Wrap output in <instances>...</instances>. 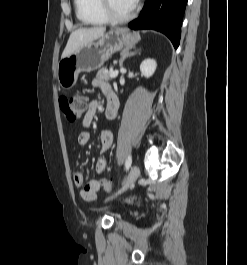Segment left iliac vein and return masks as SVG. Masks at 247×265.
<instances>
[{
	"label": "left iliac vein",
	"instance_id": "left-iliac-vein-1",
	"mask_svg": "<svg viewBox=\"0 0 247 265\" xmlns=\"http://www.w3.org/2000/svg\"><path fill=\"white\" fill-rule=\"evenodd\" d=\"M139 173H140V171H139L138 166H136V165L132 166L130 173H129L128 180H127L125 186L120 190L119 193H122L127 188L131 187L135 183V181L137 180Z\"/></svg>",
	"mask_w": 247,
	"mask_h": 265
}]
</instances>
